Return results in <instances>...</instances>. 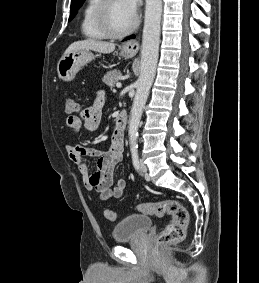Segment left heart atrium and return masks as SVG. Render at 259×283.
Here are the masks:
<instances>
[{
  "instance_id": "39dd6f15",
  "label": "left heart atrium",
  "mask_w": 259,
  "mask_h": 283,
  "mask_svg": "<svg viewBox=\"0 0 259 283\" xmlns=\"http://www.w3.org/2000/svg\"><path fill=\"white\" fill-rule=\"evenodd\" d=\"M127 10L135 16L140 0H123Z\"/></svg>"
}]
</instances>
